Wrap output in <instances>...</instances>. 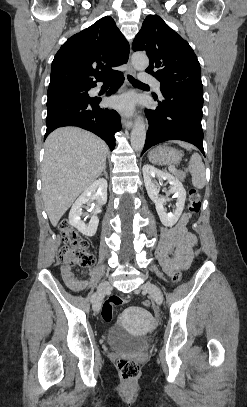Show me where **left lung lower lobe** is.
Wrapping results in <instances>:
<instances>
[{"label": "left lung lower lobe", "instance_id": "left-lung-lower-lobe-1", "mask_svg": "<svg viewBox=\"0 0 247 407\" xmlns=\"http://www.w3.org/2000/svg\"><path fill=\"white\" fill-rule=\"evenodd\" d=\"M162 94V100L154 97L158 107L146 110L150 123L142 154L150 147L168 140L192 143L204 154L201 126L203 93L168 89Z\"/></svg>", "mask_w": 247, "mask_h": 407}]
</instances>
